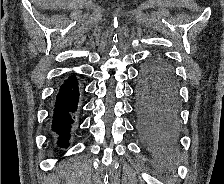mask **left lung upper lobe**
Returning a JSON list of instances; mask_svg holds the SVG:
<instances>
[{
    "label": "left lung upper lobe",
    "mask_w": 224,
    "mask_h": 184,
    "mask_svg": "<svg viewBox=\"0 0 224 184\" xmlns=\"http://www.w3.org/2000/svg\"><path fill=\"white\" fill-rule=\"evenodd\" d=\"M156 61H158V64L160 66H162L163 68H166L170 71H173L172 66L164 59H160V58H154Z\"/></svg>",
    "instance_id": "left-lung-upper-lobe-1"
}]
</instances>
